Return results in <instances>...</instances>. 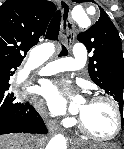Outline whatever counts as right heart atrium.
Instances as JSON below:
<instances>
[{
    "instance_id": "obj_1",
    "label": "right heart atrium",
    "mask_w": 124,
    "mask_h": 149,
    "mask_svg": "<svg viewBox=\"0 0 124 149\" xmlns=\"http://www.w3.org/2000/svg\"><path fill=\"white\" fill-rule=\"evenodd\" d=\"M48 105H49V109H50L52 114H55V115L61 114V109H60V107L56 103H54L53 101L49 100L48 101ZM65 122L67 124H70V123L73 122V120L71 118H66Z\"/></svg>"
}]
</instances>
